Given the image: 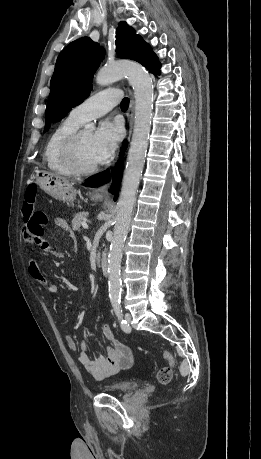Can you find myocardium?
<instances>
[{
    "label": "myocardium",
    "mask_w": 261,
    "mask_h": 459,
    "mask_svg": "<svg viewBox=\"0 0 261 459\" xmlns=\"http://www.w3.org/2000/svg\"><path fill=\"white\" fill-rule=\"evenodd\" d=\"M82 131L73 133L64 143L62 149L63 160L77 175H90L98 170V165L86 167L80 159V136Z\"/></svg>",
    "instance_id": "1"
}]
</instances>
